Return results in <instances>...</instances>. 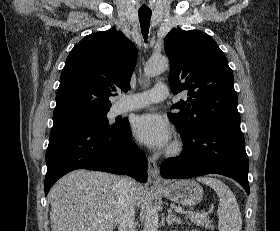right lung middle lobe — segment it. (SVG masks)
<instances>
[{
    "mask_svg": "<svg viewBox=\"0 0 280 231\" xmlns=\"http://www.w3.org/2000/svg\"><path fill=\"white\" fill-rule=\"evenodd\" d=\"M106 114L107 113L102 114V115L88 117V118L77 119V120H73V121L55 125V126L82 125V126H87L90 128L101 130V131H110V130L119 129L125 124V123H115V124L110 125L109 121L106 117Z\"/></svg>",
    "mask_w": 280,
    "mask_h": 231,
    "instance_id": "obj_1",
    "label": "right lung middle lobe"
}]
</instances>
